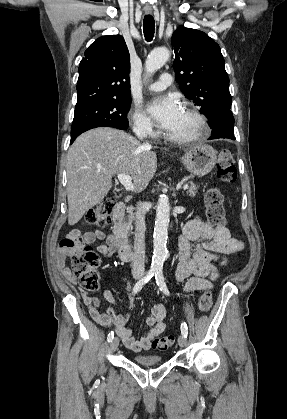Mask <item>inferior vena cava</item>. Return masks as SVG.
Returning <instances> with one entry per match:
<instances>
[{
	"label": "inferior vena cava",
	"mask_w": 287,
	"mask_h": 419,
	"mask_svg": "<svg viewBox=\"0 0 287 419\" xmlns=\"http://www.w3.org/2000/svg\"><path fill=\"white\" fill-rule=\"evenodd\" d=\"M148 132L149 128L144 127L138 134L139 138H145ZM144 146L151 147L148 142ZM145 213L143 203H138L135 219L134 256L131 263V271L134 277H141L145 274Z\"/></svg>",
	"instance_id": "1"
}]
</instances>
